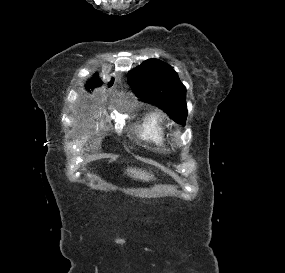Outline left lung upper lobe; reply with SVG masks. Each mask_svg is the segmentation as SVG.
<instances>
[{"label": "left lung upper lobe", "mask_w": 285, "mask_h": 273, "mask_svg": "<svg viewBox=\"0 0 285 273\" xmlns=\"http://www.w3.org/2000/svg\"><path fill=\"white\" fill-rule=\"evenodd\" d=\"M128 82L138 97L153 103L174 121L185 125L186 88L169 65L159 59H149L129 72Z\"/></svg>", "instance_id": "left-lung-upper-lobe-1"}]
</instances>
